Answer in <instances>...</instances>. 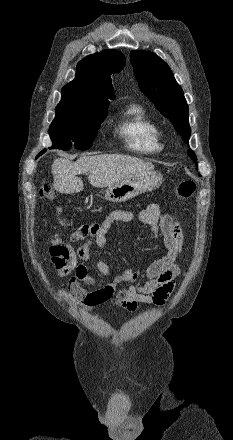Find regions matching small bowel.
I'll return each instance as SVG.
<instances>
[{
  "label": "small bowel",
  "instance_id": "obj_1",
  "mask_svg": "<svg viewBox=\"0 0 233 440\" xmlns=\"http://www.w3.org/2000/svg\"><path fill=\"white\" fill-rule=\"evenodd\" d=\"M135 218L153 233L155 239L162 235L167 253L143 271L125 269L115 275H112L106 262L97 261L96 270L103 276L112 277V280L95 290L85 289L83 285L96 286L97 281L79 259L91 261L92 247H106L107 233L115 222L127 223ZM82 240L87 241L76 249L73 244ZM183 243V233L177 219L163 215L158 204L152 203L138 214L127 210L112 211L101 223L80 226L70 235L69 241L55 235L51 240L49 254L58 276H70L63 288V295L72 305L89 310L109 304L134 312L141 304L163 305L174 291L176 278L183 274L181 267L176 263L177 257L183 252ZM139 278H144L145 281L136 284Z\"/></svg>",
  "mask_w": 233,
  "mask_h": 440
}]
</instances>
